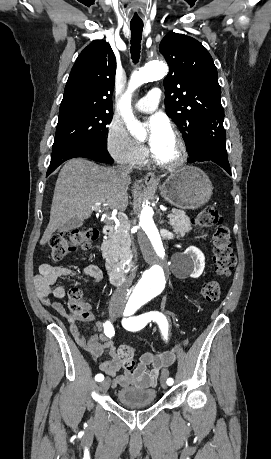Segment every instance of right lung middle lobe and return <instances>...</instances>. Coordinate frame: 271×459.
<instances>
[{"label":"right lung middle lobe","mask_w":271,"mask_h":459,"mask_svg":"<svg viewBox=\"0 0 271 459\" xmlns=\"http://www.w3.org/2000/svg\"><path fill=\"white\" fill-rule=\"evenodd\" d=\"M113 112L73 111L59 113L53 149L72 142L106 145L107 125Z\"/></svg>","instance_id":"dd1d6c3e"}]
</instances>
